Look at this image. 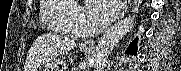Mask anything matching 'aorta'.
I'll list each match as a JSON object with an SVG mask.
<instances>
[{"label": "aorta", "mask_w": 181, "mask_h": 71, "mask_svg": "<svg viewBox=\"0 0 181 71\" xmlns=\"http://www.w3.org/2000/svg\"><path fill=\"white\" fill-rule=\"evenodd\" d=\"M140 3L141 0L138 1V5H136L132 15L124 18L118 24L114 25L101 37L91 59V66L94 71H101L104 68L111 51L129 31L133 23L135 14L138 12V7Z\"/></svg>", "instance_id": "obj_1"}]
</instances>
